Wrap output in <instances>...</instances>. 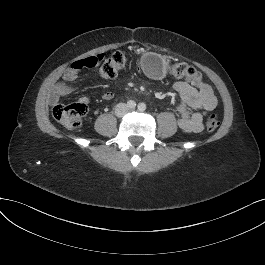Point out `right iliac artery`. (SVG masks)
<instances>
[{"mask_svg":"<svg viewBox=\"0 0 265 265\" xmlns=\"http://www.w3.org/2000/svg\"><path fill=\"white\" fill-rule=\"evenodd\" d=\"M127 106L131 109H134L136 107V103L133 100H129L127 102Z\"/></svg>","mask_w":265,"mask_h":265,"instance_id":"1","label":"right iliac artery"}]
</instances>
